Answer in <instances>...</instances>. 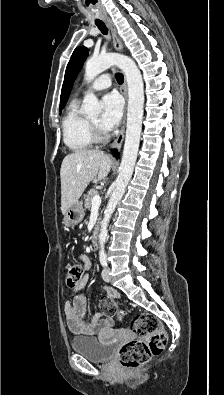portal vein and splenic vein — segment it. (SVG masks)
I'll list each match as a JSON object with an SVG mask.
<instances>
[{
	"mask_svg": "<svg viewBox=\"0 0 224 395\" xmlns=\"http://www.w3.org/2000/svg\"><path fill=\"white\" fill-rule=\"evenodd\" d=\"M101 205V197L96 195L92 199V207H99Z\"/></svg>",
	"mask_w": 224,
	"mask_h": 395,
	"instance_id": "obj_1",
	"label": "portal vein and splenic vein"
}]
</instances>
